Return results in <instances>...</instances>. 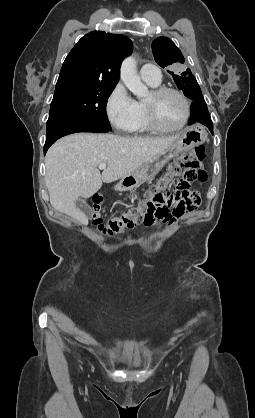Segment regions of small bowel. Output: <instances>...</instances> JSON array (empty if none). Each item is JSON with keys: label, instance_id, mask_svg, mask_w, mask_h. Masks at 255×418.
Masks as SVG:
<instances>
[{"label": "small bowel", "instance_id": "obj_1", "mask_svg": "<svg viewBox=\"0 0 255 418\" xmlns=\"http://www.w3.org/2000/svg\"><path fill=\"white\" fill-rule=\"evenodd\" d=\"M175 220V218L171 219V222H173Z\"/></svg>", "mask_w": 255, "mask_h": 418}]
</instances>
